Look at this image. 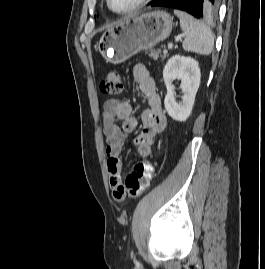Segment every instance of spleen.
<instances>
[{
	"label": "spleen",
	"instance_id": "obj_1",
	"mask_svg": "<svg viewBox=\"0 0 265 269\" xmlns=\"http://www.w3.org/2000/svg\"><path fill=\"white\" fill-rule=\"evenodd\" d=\"M174 14L179 18L180 27L185 33L183 49L188 52L209 55L214 47V36L210 27L184 11L174 9Z\"/></svg>",
	"mask_w": 265,
	"mask_h": 269
}]
</instances>
